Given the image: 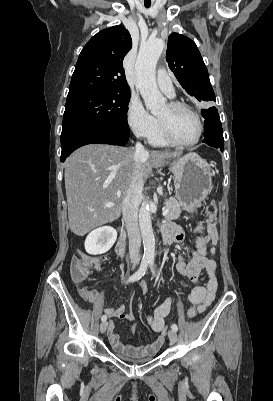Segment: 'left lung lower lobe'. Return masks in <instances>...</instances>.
Listing matches in <instances>:
<instances>
[{"instance_id": "1", "label": "left lung lower lobe", "mask_w": 273, "mask_h": 401, "mask_svg": "<svg viewBox=\"0 0 273 401\" xmlns=\"http://www.w3.org/2000/svg\"><path fill=\"white\" fill-rule=\"evenodd\" d=\"M202 116L205 118V133L203 142L209 146L220 148L223 151V133L222 124L215 107L202 110Z\"/></svg>"}]
</instances>
